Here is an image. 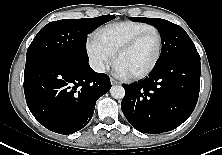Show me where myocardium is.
<instances>
[{"mask_svg":"<svg viewBox=\"0 0 222 155\" xmlns=\"http://www.w3.org/2000/svg\"><path fill=\"white\" fill-rule=\"evenodd\" d=\"M150 33H155L158 37V51H157V55L155 57V60L143 72L133 74V75H129L131 79L140 80V79L146 78L147 76H149L155 70V68L159 64L160 59L162 57V52H163V37H162L161 32L156 28L145 30V31L139 33L138 35H136L135 37H133L132 39H130L129 41H127L126 43H124L122 46H120L118 48V50L116 51V53H115V59H116V61H118V58L123 53L132 49L139 41H141L145 36H147Z\"/></svg>","mask_w":222,"mask_h":155,"instance_id":"1","label":"myocardium"}]
</instances>
